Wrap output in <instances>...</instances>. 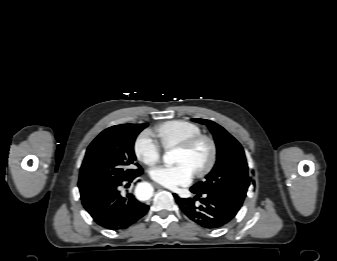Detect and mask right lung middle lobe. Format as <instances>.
<instances>
[{
  "mask_svg": "<svg viewBox=\"0 0 337 261\" xmlns=\"http://www.w3.org/2000/svg\"><path fill=\"white\" fill-rule=\"evenodd\" d=\"M147 124H123L105 129L89 145L78 187L81 199L142 172L135 163L134 142ZM134 165L138 166L136 169Z\"/></svg>",
  "mask_w": 337,
  "mask_h": 261,
  "instance_id": "right-lung-middle-lobe-1",
  "label": "right lung middle lobe"
}]
</instances>
